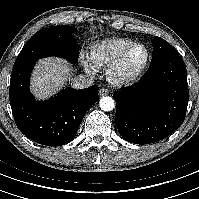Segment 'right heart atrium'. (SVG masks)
<instances>
[{
    "instance_id": "d8ad5b80",
    "label": "right heart atrium",
    "mask_w": 199,
    "mask_h": 199,
    "mask_svg": "<svg viewBox=\"0 0 199 199\" xmlns=\"http://www.w3.org/2000/svg\"><path fill=\"white\" fill-rule=\"evenodd\" d=\"M82 65L84 66L85 70L90 74H94L97 71L96 67L85 58L82 59Z\"/></svg>"
}]
</instances>
